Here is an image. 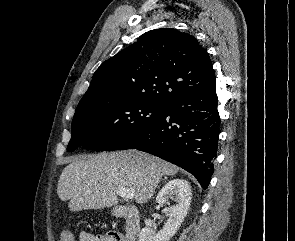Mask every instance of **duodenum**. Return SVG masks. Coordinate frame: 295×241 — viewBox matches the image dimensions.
Wrapping results in <instances>:
<instances>
[{
  "instance_id": "obj_1",
  "label": "duodenum",
  "mask_w": 295,
  "mask_h": 241,
  "mask_svg": "<svg viewBox=\"0 0 295 241\" xmlns=\"http://www.w3.org/2000/svg\"><path fill=\"white\" fill-rule=\"evenodd\" d=\"M114 214L117 217H123L125 220V235L127 241L135 240L141 228L138 210L134 206H118L115 208Z\"/></svg>"
}]
</instances>
